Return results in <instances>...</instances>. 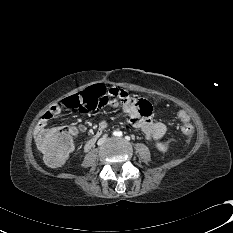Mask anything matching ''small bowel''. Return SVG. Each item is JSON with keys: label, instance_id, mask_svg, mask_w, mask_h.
Instances as JSON below:
<instances>
[{"label": "small bowel", "instance_id": "1", "mask_svg": "<svg viewBox=\"0 0 233 233\" xmlns=\"http://www.w3.org/2000/svg\"><path fill=\"white\" fill-rule=\"evenodd\" d=\"M106 104L111 108H120L129 116L130 123L136 127L140 128L146 138L150 141L160 140L166 133L167 127L163 122L154 121L151 117L155 113L154 105L146 101L143 98L134 96L129 91L122 89L119 86H113L110 88L109 92L104 94L99 102L96 104V108L101 110ZM64 102L60 101L53 106H51L40 118L36 126V130H43L47 123L59 115L64 110ZM107 123L102 121L99 124V132L93 135L85 144L84 150L89 151L97 140L101 137V132L105 130ZM77 131L82 133L85 131L83 125L77 127Z\"/></svg>", "mask_w": 233, "mask_h": 233}]
</instances>
